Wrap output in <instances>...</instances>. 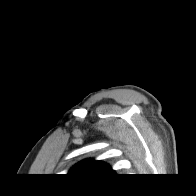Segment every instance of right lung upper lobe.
<instances>
[{
	"label": "right lung upper lobe",
	"mask_w": 196,
	"mask_h": 196,
	"mask_svg": "<svg viewBox=\"0 0 196 196\" xmlns=\"http://www.w3.org/2000/svg\"><path fill=\"white\" fill-rule=\"evenodd\" d=\"M69 174L99 177L113 175L114 172L107 164L101 161H93L92 159H89L80 162L70 171Z\"/></svg>",
	"instance_id": "right-lung-upper-lobe-1"
}]
</instances>
